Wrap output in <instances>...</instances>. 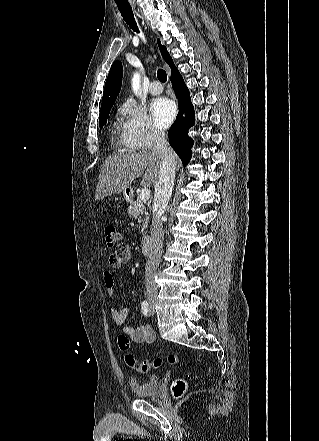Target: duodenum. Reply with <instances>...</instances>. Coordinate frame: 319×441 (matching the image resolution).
I'll return each instance as SVG.
<instances>
[{
    "label": "duodenum",
    "instance_id": "410a0bca",
    "mask_svg": "<svg viewBox=\"0 0 319 441\" xmlns=\"http://www.w3.org/2000/svg\"><path fill=\"white\" fill-rule=\"evenodd\" d=\"M129 195V193H128ZM141 251L144 255L148 256L152 252V240L150 236H145L141 242Z\"/></svg>",
    "mask_w": 319,
    "mask_h": 441
}]
</instances>
